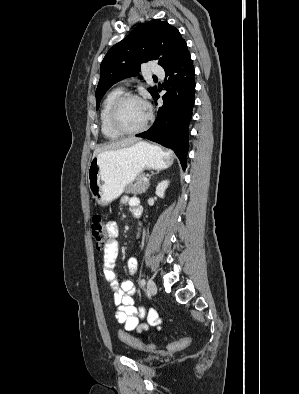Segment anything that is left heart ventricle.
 I'll use <instances>...</instances> for the list:
<instances>
[{
  "label": "left heart ventricle",
  "mask_w": 299,
  "mask_h": 394,
  "mask_svg": "<svg viewBox=\"0 0 299 394\" xmlns=\"http://www.w3.org/2000/svg\"><path fill=\"white\" fill-rule=\"evenodd\" d=\"M148 114L146 105L139 100H127L118 112V121L125 129H135L143 124Z\"/></svg>",
  "instance_id": "left-heart-ventricle-1"
}]
</instances>
